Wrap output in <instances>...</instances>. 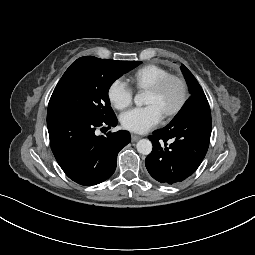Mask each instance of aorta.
<instances>
[{"label":"aorta","mask_w":255,"mask_h":255,"mask_svg":"<svg viewBox=\"0 0 255 255\" xmlns=\"http://www.w3.org/2000/svg\"><path fill=\"white\" fill-rule=\"evenodd\" d=\"M134 102L137 106H142L145 102L144 93H138L134 97ZM137 151L142 155H148L152 151V143L148 139H141L136 144Z\"/></svg>","instance_id":"762f6f07"}]
</instances>
